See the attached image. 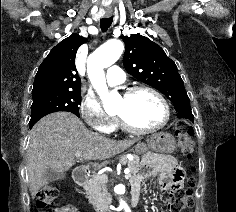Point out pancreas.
<instances>
[{
    "mask_svg": "<svg viewBox=\"0 0 236 212\" xmlns=\"http://www.w3.org/2000/svg\"><path fill=\"white\" fill-rule=\"evenodd\" d=\"M122 163H127L130 169V177L139 171V158L134 157L132 161L123 159ZM86 195L89 202L97 211H103L109 203V193L106 188V181L93 177L89 180L86 188Z\"/></svg>",
    "mask_w": 236,
    "mask_h": 212,
    "instance_id": "cf45deb5",
    "label": "pancreas"
}]
</instances>
